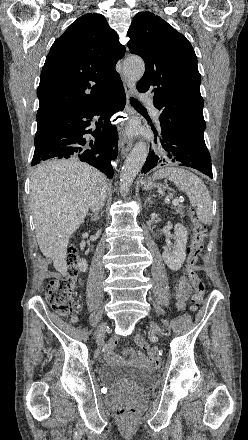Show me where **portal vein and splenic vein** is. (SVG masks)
Instances as JSON below:
<instances>
[{
  "label": "portal vein and splenic vein",
  "mask_w": 248,
  "mask_h": 440,
  "mask_svg": "<svg viewBox=\"0 0 248 440\" xmlns=\"http://www.w3.org/2000/svg\"><path fill=\"white\" fill-rule=\"evenodd\" d=\"M180 201H181V200H179V199H173L172 204H173L174 206H176V205L179 204Z\"/></svg>",
  "instance_id": "obj_1"
}]
</instances>
